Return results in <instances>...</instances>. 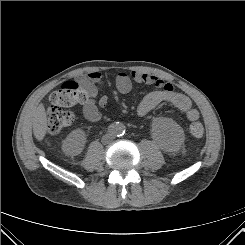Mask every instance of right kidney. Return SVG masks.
<instances>
[{"mask_svg":"<svg viewBox=\"0 0 245 245\" xmlns=\"http://www.w3.org/2000/svg\"><path fill=\"white\" fill-rule=\"evenodd\" d=\"M86 142L82 129L73 130L63 142V151L68 155H78L82 152Z\"/></svg>","mask_w":245,"mask_h":245,"instance_id":"ca27d5eb","label":"right kidney"}]
</instances>
